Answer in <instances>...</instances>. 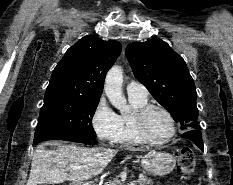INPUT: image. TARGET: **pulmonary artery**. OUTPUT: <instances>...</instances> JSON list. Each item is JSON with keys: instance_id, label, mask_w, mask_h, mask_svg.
<instances>
[{"instance_id": "obj_1", "label": "pulmonary artery", "mask_w": 233, "mask_h": 185, "mask_svg": "<svg viewBox=\"0 0 233 185\" xmlns=\"http://www.w3.org/2000/svg\"><path fill=\"white\" fill-rule=\"evenodd\" d=\"M129 96H147L148 92L144 85L139 82L131 81L126 87Z\"/></svg>"}]
</instances>
